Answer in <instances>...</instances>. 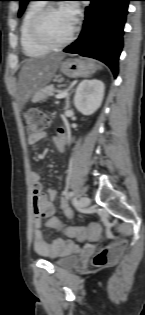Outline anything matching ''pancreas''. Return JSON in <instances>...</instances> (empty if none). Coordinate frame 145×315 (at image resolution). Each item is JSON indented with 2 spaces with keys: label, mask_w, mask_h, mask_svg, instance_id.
<instances>
[{
  "label": "pancreas",
  "mask_w": 145,
  "mask_h": 315,
  "mask_svg": "<svg viewBox=\"0 0 145 315\" xmlns=\"http://www.w3.org/2000/svg\"><path fill=\"white\" fill-rule=\"evenodd\" d=\"M55 93V87L53 85L46 86L42 89L40 96L41 99H47L50 96H53Z\"/></svg>",
  "instance_id": "pancreas-1"
}]
</instances>
